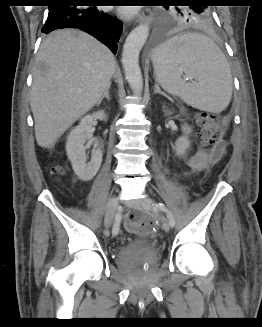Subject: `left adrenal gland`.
<instances>
[{"label": "left adrenal gland", "instance_id": "1", "mask_svg": "<svg viewBox=\"0 0 262 327\" xmlns=\"http://www.w3.org/2000/svg\"><path fill=\"white\" fill-rule=\"evenodd\" d=\"M154 93L155 94H161V95H164V96H166L165 95V93H163L161 90H160V88H159V86L157 85V84H155V90H154Z\"/></svg>", "mask_w": 262, "mask_h": 327}]
</instances>
